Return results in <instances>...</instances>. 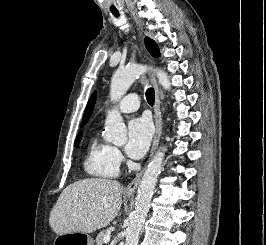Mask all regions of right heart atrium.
Listing matches in <instances>:
<instances>
[{"instance_id":"right-heart-atrium-1","label":"right heart atrium","mask_w":266,"mask_h":245,"mask_svg":"<svg viewBox=\"0 0 266 245\" xmlns=\"http://www.w3.org/2000/svg\"><path fill=\"white\" fill-rule=\"evenodd\" d=\"M113 153L115 156V159L117 160L118 163H121L123 161V157L119 149L113 148Z\"/></svg>"}]
</instances>
